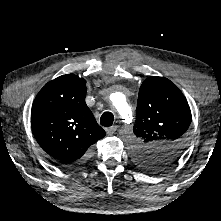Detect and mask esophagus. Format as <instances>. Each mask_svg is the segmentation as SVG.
<instances>
[{
	"instance_id": "34e87169",
	"label": "esophagus",
	"mask_w": 221,
	"mask_h": 221,
	"mask_svg": "<svg viewBox=\"0 0 221 221\" xmlns=\"http://www.w3.org/2000/svg\"><path fill=\"white\" fill-rule=\"evenodd\" d=\"M116 130H117V126H111V127H109L107 130H106V132H107V134L108 135H113L115 132H116Z\"/></svg>"
}]
</instances>
